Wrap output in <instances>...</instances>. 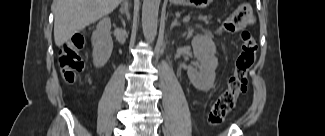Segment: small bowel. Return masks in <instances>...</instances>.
Instances as JSON below:
<instances>
[{
    "label": "small bowel",
    "mask_w": 325,
    "mask_h": 136,
    "mask_svg": "<svg viewBox=\"0 0 325 136\" xmlns=\"http://www.w3.org/2000/svg\"><path fill=\"white\" fill-rule=\"evenodd\" d=\"M231 26L230 25H228V24H224V25H222L219 29H218V31L220 32V33H224V32H227L228 30H231Z\"/></svg>",
    "instance_id": "1"
}]
</instances>
